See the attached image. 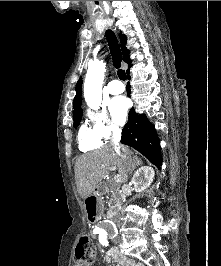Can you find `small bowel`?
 Listing matches in <instances>:
<instances>
[{"label":"small bowel","instance_id":"small-bowel-1","mask_svg":"<svg viewBox=\"0 0 221 266\" xmlns=\"http://www.w3.org/2000/svg\"><path fill=\"white\" fill-rule=\"evenodd\" d=\"M104 260L107 263L114 262L116 266H145L142 263L136 262L116 250L108 251L104 255Z\"/></svg>","mask_w":221,"mask_h":266}]
</instances>
